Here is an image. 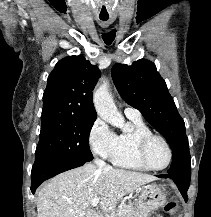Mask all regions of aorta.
<instances>
[{
	"label": "aorta",
	"mask_w": 211,
	"mask_h": 217,
	"mask_svg": "<svg viewBox=\"0 0 211 217\" xmlns=\"http://www.w3.org/2000/svg\"><path fill=\"white\" fill-rule=\"evenodd\" d=\"M93 101L97 114L104 121L120 129H126L124 117L118 111L113 101L107 81H103L95 90Z\"/></svg>",
	"instance_id": "762f6f07"
}]
</instances>
